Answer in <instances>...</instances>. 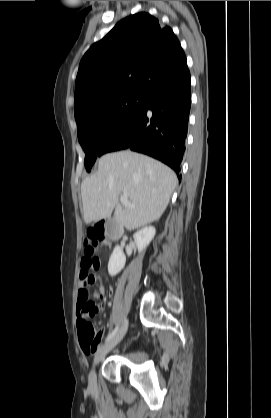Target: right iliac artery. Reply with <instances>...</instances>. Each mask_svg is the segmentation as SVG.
Masks as SVG:
<instances>
[{"mask_svg": "<svg viewBox=\"0 0 271 418\" xmlns=\"http://www.w3.org/2000/svg\"><path fill=\"white\" fill-rule=\"evenodd\" d=\"M118 328L119 327L117 326L111 333H109V335L106 337V340H105L106 342L111 340L116 335Z\"/></svg>", "mask_w": 271, "mask_h": 418, "instance_id": "82829eb1", "label": "right iliac artery"}]
</instances>
